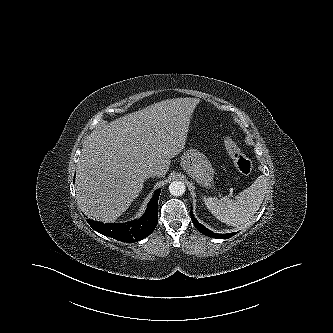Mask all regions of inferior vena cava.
Here are the masks:
<instances>
[{
  "label": "inferior vena cava",
  "mask_w": 333,
  "mask_h": 333,
  "mask_svg": "<svg viewBox=\"0 0 333 333\" xmlns=\"http://www.w3.org/2000/svg\"><path fill=\"white\" fill-rule=\"evenodd\" d=\"M160 174V171L156 168H152L149 170L148 172V176L151 177V176H159Z\"/></svg>",
  "instance_id": "1"
}]
</instances>
